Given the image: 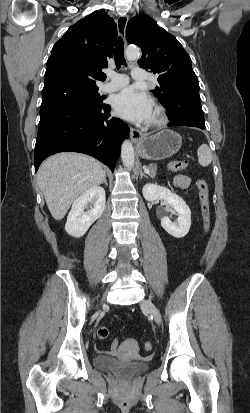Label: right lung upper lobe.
<instances>
[{"label": "right lung upper lobe", "instance_id": "obj_1", "mask_svg": "<svg viewBox=\"0 0 250 413\" xmlns=\"http://www.w3.org/2000/svg\"><path fill=\"white\" fill-rule=\"evenodd\" d=\"M117 26L107 14L93 12L72 25L52 48L42 94L66 87H97L113 55Z\"/></svg>", "mask_w": 250, "mask_h": 413}]
</instances>
